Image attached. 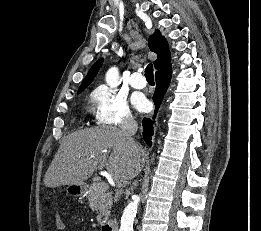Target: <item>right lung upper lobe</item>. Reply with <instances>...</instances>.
I'll use <instances>...</instances> for the list:
<instances>
[{
    "instance_id": "right-lung-upper-lobe-1",
    "label": "right lung upper lobe",
    "mask_w": 261,
    "mask_h": 231,
    "mask_svg": "<svg viewBox=\"0 0 261 231\" xmlns=\"http://www.w3.org/2000/svg\"><path fill=\"white\" fill-rule=\"evenodd\" d=\"M149 48L158 55L157 60L154 62V66L157 69L156 73L166 67L171 66L168 43L166 39L161 36V33L158 30H156L155 33L149 37ZM102 62L103 59H99L96 61V63L93 64L81 86L79 87L78 92L83 91L93 81L102 65Z\"/></svg>"
}]
</instances>
